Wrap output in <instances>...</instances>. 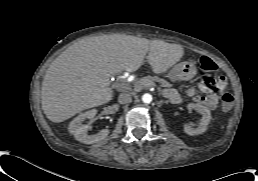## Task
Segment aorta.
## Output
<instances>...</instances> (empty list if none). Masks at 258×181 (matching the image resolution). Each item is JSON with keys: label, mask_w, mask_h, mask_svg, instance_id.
Instances as JSON below:
<instances>
[{"label": "aorta", "mask_w": 258, "mask_h": 181, "mask_svg": "<svg viewBox=\"0 0 258 181\" xmlns=\"http://www.w3.org/2000/svg\"><path fill=\"white\" fill-rule=\"evenodd\" d=\"M142 101L144 103H150L152 101V96L150 94L146 93L142 96Z\"/></svg>", "instance_id": "1"}]
</instances>
